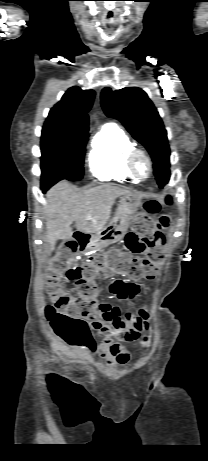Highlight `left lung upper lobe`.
Listing matches in <instances>:
<instances>
[{
  "instance_id": "obj_1",
  "label": "left lung upper lobe",
  "mask_w": 208,
  "mask_h": 461,
  "mask_svg": "<svg viewBox=\"0 0 208 461\" xmlns=\"http://www.w3.org/2000/svg\"><path fill=\"white\" fill-rule=\"evenodd\" d=\"M101 103L108 117L122 122L146 147L154 162L157 183L163 187L170 178V148L163 122L147 94L137 87L116 91L106 87L101 93Z\"/></svg>"
}]
</instances>
